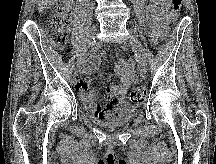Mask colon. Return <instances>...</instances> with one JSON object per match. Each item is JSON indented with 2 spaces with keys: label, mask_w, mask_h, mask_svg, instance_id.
<instances>
[{
  "label": "colon",
  "mask_w": 216,
  "mask_h": 164,
  "mask_svg": "<svg viewBox=\"0 0 216 164\" xmlns=\"http://www.w3.org/2000/svg\"><path fill=\"white\" fill-rule=\"evenodd\" d=\"M74 0H59L55 13L48 26V36L57 47H62L66 42V35L71 25V14ZM182 9V0H171V9L168 14L169 21L175 25L178 22ZM147 95L145 87H135L127 96H121L120 101L129 105L142 103Z\"/></svg>",
  "instance_id": "5ec220e1"
}]
</instances>
